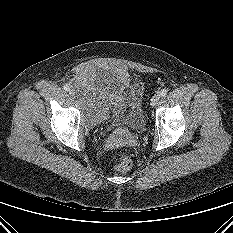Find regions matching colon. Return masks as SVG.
I'll return each mask as SVG.
<instances>
[{"instance_id": "colon-1", "label": "colon", "mask_w": 233, "mask_h": 233, "mask_svg": "<svg viewBox=\"0 0 233 233\" xmlns=\"http://www.w3.org/2000/svg\"><path fill=\"white\" fill-rule=\"evenodd\" d=\"M132 167V161L127 154H121L117 163L114 166L115 171L117 172H127Z\"/></svg>"}]
</instances>
